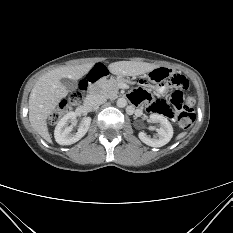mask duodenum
Listing matches in <instances>:
<instances>
[{
    "mask_svg": "<svg viewBox=\"0 0 233 233\" xmlns=\"http://www.w3.org/2000/svg\"><path fill=\"white\" fill-rule=\"evenodd\" d=\"M109 74L108 66L103 62L100 61L90 73L87 74L82 79L83 87L87 89H83V94L98 92L99 90L96 89V80L100 77H106Z\"/></svg>",
    "mask_w": 233,
    "mask_h": 233,
    "instance_id": "duodenum-1",
    "label": "duodenum"
}]
</instances>
